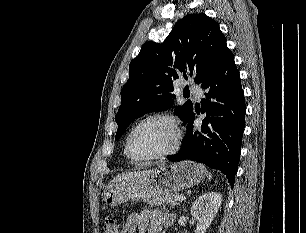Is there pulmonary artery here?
Returning <instances> with one entry per match:
<instances>
[{
  "mask_svg": "<svg viewBox=\"0 0 306 233\" xmlns=\"http://www.w3.org/2000/svg\"><path fill=\"white\" fill-rule=\"evenodd\" d=\"M190 90L197 98H200L203 94V89L198 85H191Z\"/></svg>",
  "mask_w": 306,
  "mask_h": 233,
  "instance_id": "1",
  "label": "pulmonary artery"
}]
</instances>
